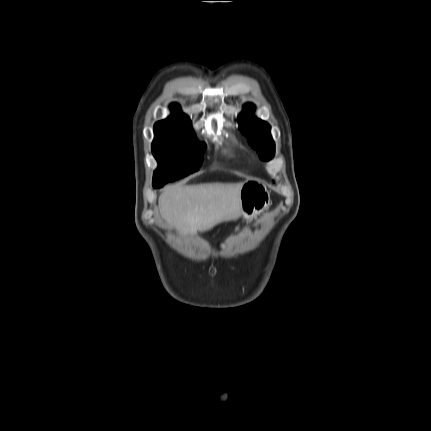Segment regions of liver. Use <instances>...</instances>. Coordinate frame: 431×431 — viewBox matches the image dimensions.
<instances>
[{
    "instance_id": "1",
    "label": "liver",
    "mask_w": 431,
    "mask_h": 431,
    "mask_svg": "<svg viewBox=\"0 0 431 431\" xmlns=\"http://www.w3.org/2000/svg\"><path fill=\"white\" fill-rule=\"evenodd\" d=\"M242 184L169 187L159 198L160 212L169 226L182 232L209 230L223 221L236 220L242 214Z\"/></svg>"
}]
</instances>
